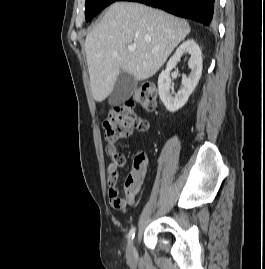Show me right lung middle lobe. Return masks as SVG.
<instances>
[{
  "label": "right lung middle lobe",
  "mask_w": 265,
  "mask_h": 269,
  "mask_svg": "<svg viewBox=\"0 0 265 269\" xmlns=\"http://www.w3.org/2000/svg\"><path fill=\"white\" fill-rule=\"evenodd\" d=\"M120 0H86L85 3V18L90 21L102 9L109 6L111 3Z\"/></svg>",
  "instance_id": "1"
}]
</instances>
